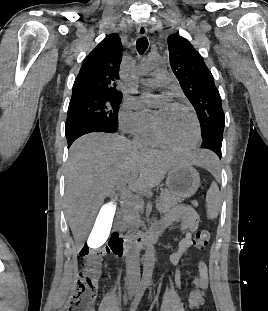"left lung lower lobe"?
I'll return each mask as SVG.
<instances>
[{"mask_svg":"<svg viewBox=\"0 0 268 311\" xmlns=\"http://www.w3.org/2000/svg\"><path fill=\"white\" fill-rule=\"evenodd\" d=\"M201 147L213 151L221 158L222 139L220 140L214 137L208 138L203 140Z\"/></svg>","mask_w":268,"mask_h":311,"instance_id":"obj_1","label":"left lung lower lobe"}]
</instances>
